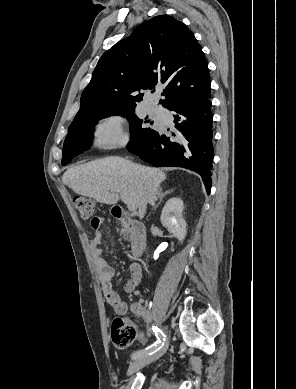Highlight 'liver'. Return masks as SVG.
Here are the masks:
<instances>
[{
	"label": "liver",
	"mask_w": 296,
	"mask_h": 389,
	"mask_svg": "<svg viewBox=\"0 0 296 389\" xmlns=\"http://www.w3.org/2000/svg\"><path fill=\"white\" fill-rule=\"evenodd\" d=\"M166 174L121 157H106L76 165L63 174V183L76 194L97 202L116 204L120 193L136 204L138 216L144 217L147 203L154 205Z\"/></svg>",
	"instance_id": "obj_1"
}]
</instances>
